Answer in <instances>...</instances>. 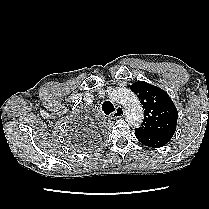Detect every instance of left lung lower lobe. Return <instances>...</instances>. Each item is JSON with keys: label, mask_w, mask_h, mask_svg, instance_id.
Returning <instances> with one entry per match:
<instances>
[{"label": "left lung lower lobe", "mask_w": 209, "mask_h": 209, "mask_svg": "<svg viewBox=\"0 0 209 209\" xmlns=\"http://www.w3.org/2000/svg\"><path fill=\"white\" fill-rule=\"evenodd\" d=\"M136 138L144 145L153 148H160L166 145L169 141L160 137H152L135 132Z\"/></svg>", "instance_id": "0a47b994"}]
</instances>
